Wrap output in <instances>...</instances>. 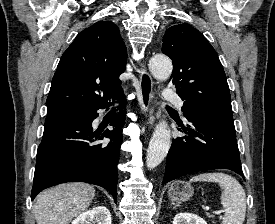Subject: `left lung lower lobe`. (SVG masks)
Segmentation results:
<instances>
[{"label":"left lung lower lobe","mask_w":275,"mask_h":224,"mask_svg":"<svg viewBox=\"0 0 275 224\" xmlns=\"http://www.w3.org/2000/svg\"><path fill=\"white\" fill-rule=\"evenodd\" d=\"M186 136L173 139L162 184L197 171L229 169L243 174L233 119L209 114L186 117Z\"/></svg>","instance_id":"obj_1"}]
</instances>
